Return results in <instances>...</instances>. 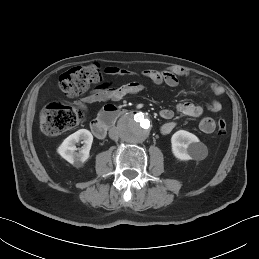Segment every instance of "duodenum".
Returning <instances> with one entry per match:
<instances>
[{"label": "duodenum", "instance_id": "obj_1", "mask_svg": "<svg viewBox=\"0 0 259 259\" xmlns=\"http://www.w3.org/2000/svg\"><path fill=\"white\" fill-rule=\"evenodd\" d=\"M125 113V110L120 109L117 106L106 105L100 111L98 116L91 122V131L94 136L99 139L104 138L114 121Z\"/></svg>", "mask_w": 259, "mask_h": 259}]
</instances>
